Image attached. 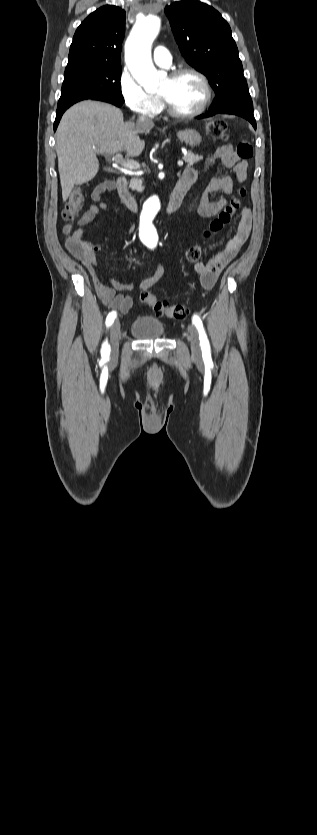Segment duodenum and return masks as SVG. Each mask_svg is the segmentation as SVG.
Wrapping results in <instances>:
<instances>
[{
	"label": "duodenum",
	"mask_w": 317,
	"mask_h": 835,
	"mask_svg": "<svg viewBox=\"0 0 317 835\" xmlns=\"http://www.w3.org/2000/svg\"><path fill=\"white\" fill-rule=\"evenodd\" d=\"M107 185H109L108 189L112 191H117L120 201L125 206H127L129 209L133 211L137 210L138 202L136 198L128 191L127 179L125 177H119L116 182L108 181ZM187 190L188 187L181 180H179L168 197L166 204L167 213H172L179 208Z\"/></svg>",
	"instance_id": "obj_1"
}]
</instances>
